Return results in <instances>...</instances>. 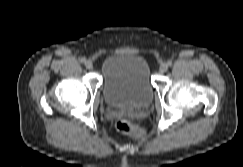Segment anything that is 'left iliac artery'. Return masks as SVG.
I'll use <instances>...</instances> for the list:
<instances>
[{"mask_svg": "<svg viewBox=\"0 0 243 167\" xmlns=\"http://www.w3.org/2000/svg\"><path fill=\"white\" fill-rule=\"evenodd\" d=\"M167 64H168V66H171L172 65V61H168Z\"/></svg>", "mask_w": 243, "mask_h": 167, "instance_id": "left-iliac-artery-1", "label": "left iliac artery"}]
</instances>
